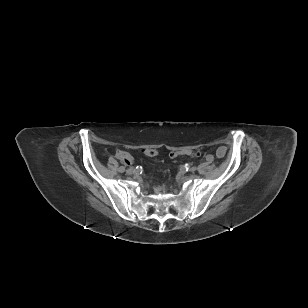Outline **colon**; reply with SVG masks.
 <instances>
[{
	"label": "colon",
	"instance_id": "obj_1",
	"mask_svg": "<svg viewBox=\"0 0 308 308\" xmlns=\"http://www.w3.org/2000/svg\"><path fill=\"white\" fill-rule=\"evenodd\" d=\"M144 154L150 157H154L157 155V151L155 149H145ZM184 154H188V155H198V152H193V151H189V152H184ZM226 154V153H225ZM176 155V154H173ZM116 157L118 159H120L121 161L125 162V163H129L131 161V156L128 152L126 151H122V150H118L116 152Z\"/></svg>",
	"mask_w": 308,
	"mask_h": 308
}]
</instances>
